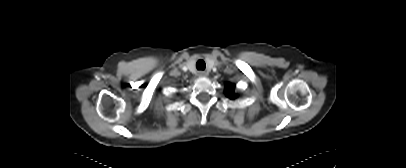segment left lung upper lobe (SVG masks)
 <instances>
[{"mask_svg":"<svg viewBox=\"0 0 406 168\" xmlns=\"http://www.w3.org/2000/svg\"><path fill=\"white\" fill-rule=\"evenodd\" d=\"M234 87H235L234 84H230V83H227V84H226L225 93H226V95H227L229 98H231V99H234V98L237 97V95L234 93Z\"/></svg>","mask_w":406,"mask_h":168,"instance_id":"1","label":"left lung upper lobe"}]
</instances>
